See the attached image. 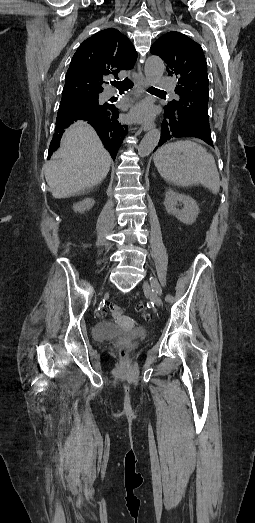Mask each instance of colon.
<instances>
[{
	"label": "colon",
	"instance_id": "1",
	"mask_svg": "<svg viewBox=\"0 0 255 523\" xmlns=\"http://www.w3.org/2000/svg\"><path fill=\"white\" fill-rule=\"evenodd\" d=\"M137 310H138L139 312L143 313V315H144V317H145L146 319H149V318H150V315H149L148 313L145 312V308H144V306H143L142 304H138V305H137ZM110 312H111V314H112L113 316L118 317V316H120V315L124 312V308L121 307V306H118V305H112V306L110 307ZM119 352H120V355L124 357V356L126 355V349H125V347H121L120 350H119Z\"/></svg>",
	"mask_w": 255,
	"mask_h": 523
}]
</instances>
